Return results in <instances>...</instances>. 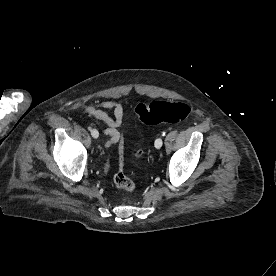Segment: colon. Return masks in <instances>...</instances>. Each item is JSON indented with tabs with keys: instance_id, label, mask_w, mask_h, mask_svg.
<instances>
[{
	"instance_id": "1",
	"label": "colon",
	"mask_w": 276,
	"mask_h": 276,
	"mask_svg": "<svg viewBox=\"0 0 276 276\" xmlns=\"http://www.w3.org/2000/svg\"><path fill=\"white\" fill-rule=\"evenodd\" d=\"M135 113L140 121L147 125H156L162 122L177 123L187 118L190 107L183 102L155 101L150 104H138ZM117 188L125 192H133L135 184L126 174L123 167L114 175Z\"/></svg>"
}]
</instances>
